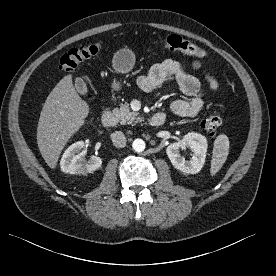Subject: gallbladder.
I'll return each mask as SVG.
<instances>
[{
  "label": "gallbladder",
  "mask_w": 276,
  "mask_h": 276,
  "mask_svg": "<svg viewBox=\"0 0 276 276\" xmlns=\"http://www.w3.org/2000/svg\"><path fill=\"white\" fill-rule=\"evenodd\" d=\"M75 88L81 95H86L88 92L87 85L82 78L75 79Z\"/></svg>",
  "instance_id": "gallbladder-1"
}]
</instances>
